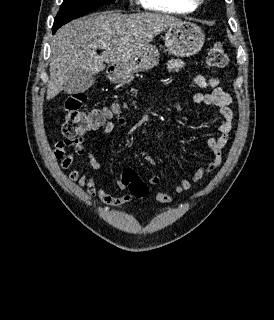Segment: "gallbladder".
Instances as JSON below:
<instances>
[{
    "label": "gallbladder",
    "instance_id": "bac80fb5",
    "mask_svg": "<svg viewBox=\"0 0 274 320\" xmlns=\"http://www.w3.org/2000/svg\"><path fill=\"white\" fill-rule=\"evenodd\" d=\"M94 82L90 68H69L65 73V95H81V92L89 90Z\"/></svg>",
    "mask_w": 274,
    "mask_h": 320
}]
</instances>
